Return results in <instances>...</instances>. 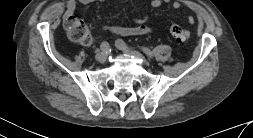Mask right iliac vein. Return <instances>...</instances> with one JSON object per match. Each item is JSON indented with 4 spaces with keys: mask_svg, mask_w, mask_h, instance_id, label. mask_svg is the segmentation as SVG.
<instances>
[{
    "mask_svg": "<svg viewBox=\"0 0 253 138\" xmlns=\"http://www.w3.org/2000/svg\"><path fill=\"white\" fill-rule=\"evenodd\" d=\"M95 59L99 63H104L106 61V59H107L106 52H99V53H97V55L95 56Z\"/></svg>",
    "mask_w": 253,
    "mask_h": 138,
    "instance_id": "63e3f726",
    "label": "right iliac vein"
}]
</instances>
